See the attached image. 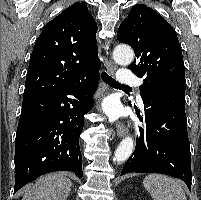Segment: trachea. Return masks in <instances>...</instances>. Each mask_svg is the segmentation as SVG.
I'll use <instances>...</instances> for the list:
<instances>
[{
	"mask_svg": "<svg viewBox=\"0 0 201 200\" xmlns=\"http://www.w3.org/2000/svg\"><path fill=\"white\" fill-rule=\"evenodd\" d=\"M102 80L111 87L118 88V89H130V86L123 85L109 76L106 72L101 73Z\"/></svg>",
	"mask_w": 201,
	"mask_h": 200,
	"instance_id": "1",
	"label": "trachea"
}]
</instances>
